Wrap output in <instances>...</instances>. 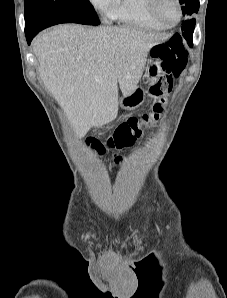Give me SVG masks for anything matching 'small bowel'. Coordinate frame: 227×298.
Wrapping results in <instances>:
<instances>
[{"instance_id": "1", "label": "small bowel", "mask_w": 227, "mask_h": 298, "mask_svg": "<svg viewBox=\"0 0 227 298\" xmlns=\"http://www.w3.org/2000/svg\"><path fill=\"white\" fill-rule=\"evenodd\" d=\"M83 143L86 147H92L93 151H107L108 147L106 146L105 139H84ZM98 158H106V153H98ZM113 164L119 166L122 164V158L115 155L113 157Z\"/></svg>"}]
</instances>
